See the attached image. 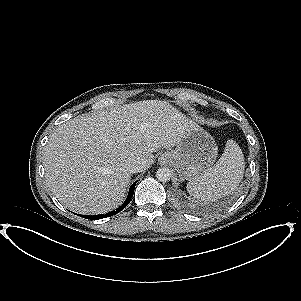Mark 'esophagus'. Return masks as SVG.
Segmentation results:
<instances>
[{"label":"esophagus","mask_w":301,"mask_h":301,"mask_svg":"<svg viewBox=\"0 0 301 301\" xmlns=\"http://www.w3.org/2000/svg\"><path fill=\"white\" fill-rule=\"evenodd\" d=\"M168 161V157L165 155V156H162L161 158H160V163H162V164H164V163H166Z\"/></svg>","instance_id":"1"}]
</instances>
